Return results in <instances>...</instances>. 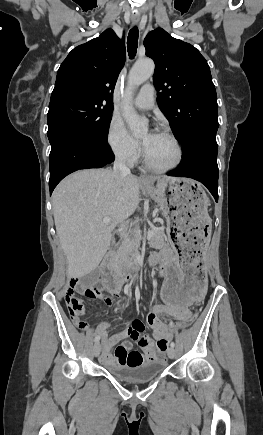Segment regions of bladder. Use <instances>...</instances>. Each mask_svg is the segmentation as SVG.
Masks as SVG:
<instances>
[{"label": "bladder", "mask_w": 263, "mask_h": 435, "mask_svg": "<svg viewBox=\"0 0 263 435\" xmlns=\"http://www.w3.org/2000/svg\"><path fill=\"white\" fill-rule=\"evenodd\" d=\"M165 365L164 360L155 359L139 365H107V370L118 379L127 382H146L159 376Z\"/></svg>", "instance_id": "1"}]
</instances>
